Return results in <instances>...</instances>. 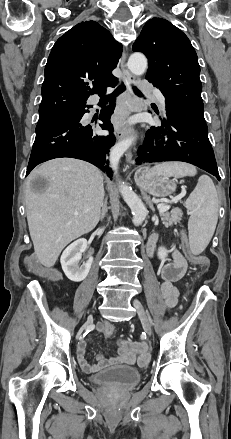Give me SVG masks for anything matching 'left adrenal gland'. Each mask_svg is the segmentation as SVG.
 Returning <instances> with one entry per match:
<instances>
[{"mask_svg":"<svg viewBox=\"0 0 231 439\" xmlns=\"http://www.w3.org/2000/svg\"><path fill=\"white\" fill-rule=\"evenodd\" d=\"M142 194H143V197H144L146 203L148 204L149 208H150L153 212H155V208H154V206H153V203H152V201H151V198H150L149 196H147V194L144 193V192H143Z\"/></svg>","mask_w":231,"mask_h":439,"instance_id":"1","label":"left adrenal gland"}]
</instances>
